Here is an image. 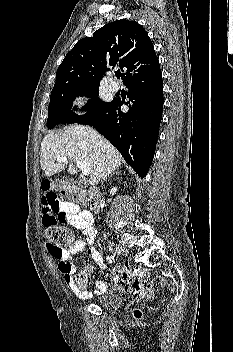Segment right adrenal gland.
<instances>
[{
	"instance_id": "right-adrenal-gland-1",
	"label": "right adrenal gland",
	"mask_w": 233,
	"mask_h": 352,
	"mask_svg": "<svg viewBox=\"0 0 233 352\" xmlns=\"http://www.w3.org/2000/svg\"><path fill=\"white\" fill-rule=\"evenodd\" d=\"M119 173H120L119 171H113L112 173H109L106 177L103 178L102 184H103L107 179H109V177H111L113 174H119Z\"/></svg>"
}]
</instances>
